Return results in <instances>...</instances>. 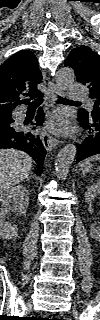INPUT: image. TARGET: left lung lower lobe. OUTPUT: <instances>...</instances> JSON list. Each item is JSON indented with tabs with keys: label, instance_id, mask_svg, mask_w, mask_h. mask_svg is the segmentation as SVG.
<instances>
[{
	"label": "left lung lower lobe",
	"instance_id": "obj_1",
	"mask_svg": "<svg viewBox=\"0 0 100 320\" xmlns=\"http://www.w3.org/2000/svg\"><path fill=\"white\" fill-rule=\"evenodd\" d=\"M83 128L89 131V136L77 147V162L96 154H100V115L95 117L79 114Z\"/></svg>",
	"mask_w": 100,
	"mask_h": 320
}]
</instances>
